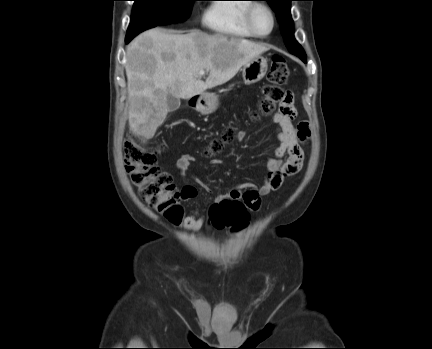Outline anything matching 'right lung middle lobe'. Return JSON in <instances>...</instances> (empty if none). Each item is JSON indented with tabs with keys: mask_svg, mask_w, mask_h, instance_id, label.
<instances>
[{
	"mask_svg": "<svg viewBox=\"0 0 432 349\" xmlns=\"http://www.w3.org/2000/svg\"><path fill=\"white\" fill-rule=\"evenodd\" d=\"M131 22L126 38L160 25L185 21L196 0H134Z\"/></svg>",
	"mask_w": 432,
	"mask_h": 349,
	"instance_id": "dd1d6c3e",
	"label": "right lung middle lobe"
}]
</instances>
